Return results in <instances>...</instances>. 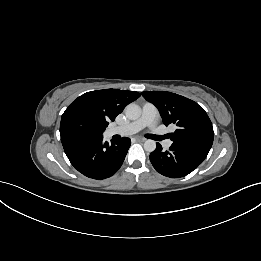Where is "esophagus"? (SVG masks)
Returning <instances> with one entry per match:
<instances>
[{"label": "esophagus", "instance_id": "1", "mask_svg": "<svg viewBox=\"0 0 261 261\" xmlns=\"http://www.w3.org/2000/svg\"><path fill=\"white\" fill-rule=\"evenodd\" d=\"M136 141H138V142H144V141H145V138L136 137Z\"/></svg>", "mask_w": 261, "mask_h": 261}]
</instances>
